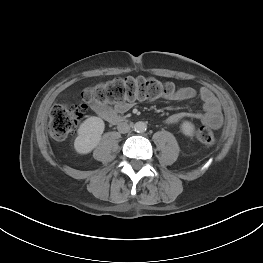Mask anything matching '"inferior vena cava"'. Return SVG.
I'll return each instance as SVG.
<instances>
[{"instance_id": "602c4592", "label": "inferior vena cava", "mask_w": 263, "mask_h": 263, "mask_svg": "<svg viewBox=\"0 0 263 263\" xmlns=\"http://www.w3.org/2000/svg\"><path fill=\"white\" fill-rule=\"evenodd\" d=\"M117 129L120 133H128L130 131V126L126 122H121L118 124Z\"/></svg>"}]
</instances>
